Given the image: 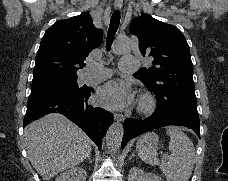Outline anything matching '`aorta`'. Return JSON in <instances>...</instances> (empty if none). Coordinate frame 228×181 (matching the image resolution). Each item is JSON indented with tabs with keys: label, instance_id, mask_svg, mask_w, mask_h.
I'll use <instances>...</instances> for the list:
<instances>
[{
	"label": "aorta",
	"instance_id": "obj_1",
	"mask_svg": "<svg viewBox=\"0 0 228 181\" xmlns=\"http://www.w3.org/2000/svg\"><path fill=\"white\" fill-rule=\"evenodd\" d=\"M131 50V41L129 38H118L114 44V53L123 54ZM123 138V125L114 123L106 133V146L109 152H116L121 146Z\"/></svg>",
	"mask_w": 228,
	"mask_h": 181
}]
</instances>
